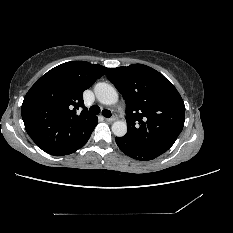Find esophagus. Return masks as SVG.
<instances>
[{"label":"esophagus","mask_w":233,"mask_h":233,"mask_svg":"<svg viewBox=\"0 0 233 233\" xmlns=\"http://www.w3.org/2000/svg\"><path fill=\"white\" fill-rule=\"evenodd\" d=\"M116 119H117V116L114 115V116L111 117V118H105V121H107V122H113V121H115Z\"/></svg>","instance_id":"obj_1"}]
</instances>
